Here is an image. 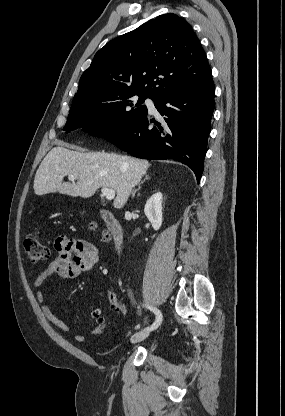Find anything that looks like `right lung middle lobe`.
Wrapping results in <instances>:
<instances>
[{"label":"right lung middle lobe","instance_id":"dd1d6c3e","mask_svg":"<svg viewBox=\"0 0 285 416\" xmlns=\"http://www.w3.org/2000/svg\"><path fill=\"white\" fill-rule=\"evenodd\" d=\"M145 99L139 97L136 101L133 96H125L71 110L63 130L83 128L87 133L105 139L117 135L147 115V108L142 105Z\"/></svg>","mask_w":285,"mask_h":416}]
</instances>
